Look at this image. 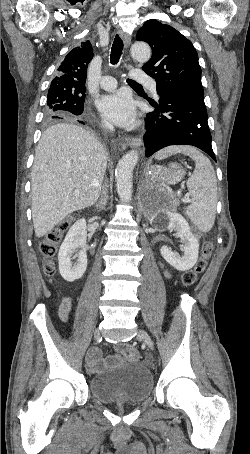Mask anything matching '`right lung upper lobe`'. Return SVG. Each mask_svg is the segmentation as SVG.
Returning a JSON list of instances; mask_svg holds the SVG:
<instances>
[{
  "label": "right lung upper lobe",
  "mask_w": 250,
  "mask_h": 454,
  "mask_svg": "<svg viewBox=\"0 0 250 454\" xmlns=\"http://www.w3.org/2000/svg\"><path fill=\"white\" fill-rule=\"evenodd\" d=\"M92 58L93 49L90 41L82 42L67 54L57 69V76L52 80L50 87L66 90L85 87L87 67Z\"/></svg>",
  "instance_id": "cb5924a9"
}]
</instances>
